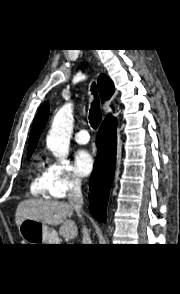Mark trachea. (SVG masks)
I'll use <instances>...</instances> for the list:
<instances>
[{
  "mask_svg": "<svg viewBox=\"0 0 180 294\" xmlns=\"http://www.w3.org/2000/svg\"><path fill=\"white\" fill-rule=\"evenodd\" d=\"M91 91L93 92L95 96V100L91 104V109L89 113V122L93 129H97L101 122L102 117H101L100 104H99V99H98L95 84H92Z\"/></svg>",
  "mask_w": 180,
  "mask_h": 294,
  "instance_id": "3493384b",
  "label": "trachea"
}]
</instances>
